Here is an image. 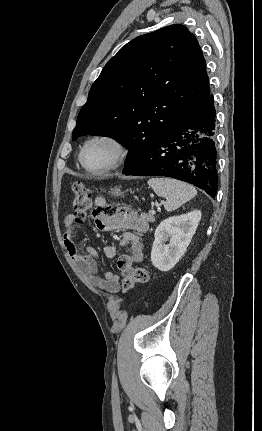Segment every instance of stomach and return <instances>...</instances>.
<instances>
[{
    "label": "stomach",
    "instance_id": "stomach-1",
    "mask_svg": "<svg viewBox=\"0 0 262 431\" xmlns=\"http://www.w3.org/2000/svg\"><path fill=\"white\" fill-rule=\"evenodd\" d=\"M111 194L113 196H120L122 194V192L119 188H113V189H111Z\"/></svg>",
    "mask_w": 262,
    "mask_h": 431
}]
</instances>
